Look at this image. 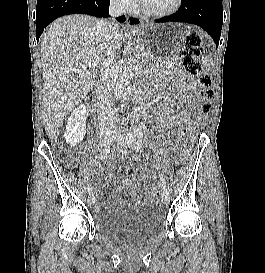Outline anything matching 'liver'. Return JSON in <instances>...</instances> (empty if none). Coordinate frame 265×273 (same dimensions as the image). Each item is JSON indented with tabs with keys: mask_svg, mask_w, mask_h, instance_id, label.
<instances>
[{
	"mask_svg": "<svg viewBox=\"0 0 265 273\" xmlns=\"http://www.w3.org/2000/svg\"><path fill=\"white\" fill-rule=\"evenodd\" d=\"M99 22L86 15H68L55 20L41 36L42 117L49 138L93 85L97 69L83 65L97 62L102 67L107 58ZM123 39V29L118 28L113 43L116 52Z\"/></svg>",
	"mask_w": 265,
	"mask_h": 273,
	"instance_id": "6515ba94",
	"label": "liver"
}]
</instances>
